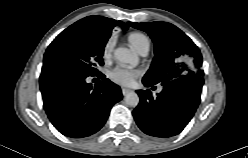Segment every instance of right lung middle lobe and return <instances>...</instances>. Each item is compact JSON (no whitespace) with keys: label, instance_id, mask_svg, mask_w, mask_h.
Masks as SVG:
<instances>
[{"label":"right lung middle lobe","instance_id":"dd1d6c3e","mask_svg":"<svg viewBox=\"0 0 248 158\" xmlns=\"http://www.w3.org/2000/svg\"><path fill=\"white\" fill-rule=\"evenodd\" d=\"M105 41L91 37L74 23L62 31L47 48L42 73H70L81 77L95 76L103 65Z\"/></svg>","mask_w":248,"mask_h":158}]
</instances>
